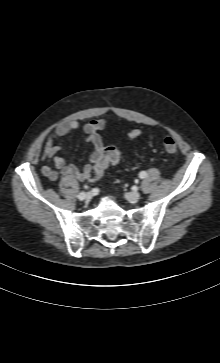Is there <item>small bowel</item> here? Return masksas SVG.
Returning a JSON list of instances; mask_svg holds the SVG:
<instances>
[{"label":"small bowel","mask_w":220,"mask_h":363,"mask_svg":"<svg viewBox=\"0 0 220 363\" xmlns=\"http://www.w3.org/2000/svg\"><path fill=\"white\" fill-rule=\"evenodd\" d=\"M106 125V119H94L82 126V130L86 134V142L91 143L94 147L89 157V162L82 169L75 164L66 163L63 158L58 157L57 153L61 148L56 145L58 138L78 129L79 123L71 120L58 125L55 131L48 135L44 144L42 160L47 162V164L42 167V175L51 181H56L60 176L78 181L91 180L98 168L105 169L107 167L103 162V151L105 149L103 139L98 133Z\"/></svg>","instance_id":"1"}]
</instances>
